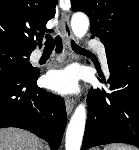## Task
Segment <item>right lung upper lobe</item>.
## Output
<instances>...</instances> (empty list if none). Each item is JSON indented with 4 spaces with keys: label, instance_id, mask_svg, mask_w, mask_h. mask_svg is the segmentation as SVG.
I'll return each mask as SVG.
<instances>
[{
    "label": "right lung upper lobe",
    "instance_id": "obj_1",
    "mask_svg": "<svg viewBox=\"0 0 139 150\" xmlns=\"http://www.w3.org/2000/svg\"><path fill=\"white\" fill-rule=\"evenodd\" d=\"M57 0H0V45L32 52L50 32ZM38 40V43L34 40Z\"/></svg>",
    "mask_w": 139,
    "mask_h": 150
}]
</instances>
